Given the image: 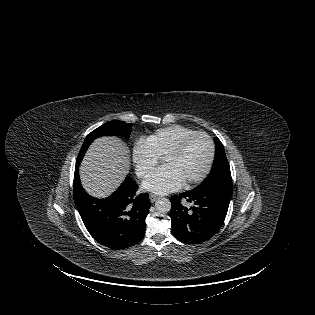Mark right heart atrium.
Here are the masks:
<instances>
[{"label": "right heart atrium", "mask_w": 315, "mask_h": 315, "mask_svg": "<svg viewBox=\"0 0 315 315\" xmlns=\"http://www.w3.org/2000/svg\"><path fill=\"white\" fill-rule=\"evenodd\" d=\"M132 158L136 173L141 178L146 177L157 165L159 160L146 140H140L134 145Z\"/></svg>", "instance_id": "d8ad5b80"}]
</instances>
